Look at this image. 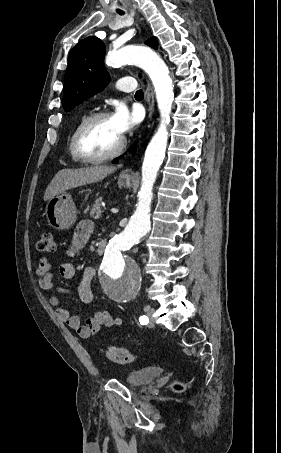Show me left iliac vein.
Segmentation results:
<instances>
[{
    "mask_svg": "<svg viewBox=\"0 0 281 453\" xmlns=\"http://www.w3.org/2000/svg\"><path fill=\"white\" fill-rule=\"evenodd\" d=\"M154 310H148L147 315L150 318V323H148V328H153V325H155V318H152V312Z\"/></svg>",
    "mask_w": 281,
    "mask_h": 453,
    "instance_id": "4c4485c4",
    "label": "left iliac vein"
}]
</instances>
